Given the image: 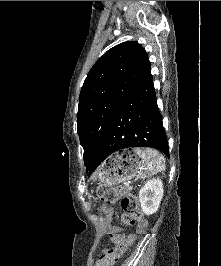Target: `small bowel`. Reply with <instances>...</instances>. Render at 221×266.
Wrapping results in <instances>:
<instances>
[{"label":"small bowel","instance_id":"small-bowel-1","mask_svg":"<svg viewBox=\"0 0 221 266\" xmlns=\"http://www.w3.org/2000/svg\"><path fill=\"white\" fill-rule=\"evenodd\" d=\"M121 237H122V235H121V234H116V235H115V239H117V238H121ZM104 251H105V250H104ZM104 251H103V252H104ZM103 252H102V253H103ZM97 262H98V261H97ZM95 266H97V263H96V265H95Z\"/></svg>","mask_w":221,"mask_h":266}]
</instances>
